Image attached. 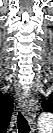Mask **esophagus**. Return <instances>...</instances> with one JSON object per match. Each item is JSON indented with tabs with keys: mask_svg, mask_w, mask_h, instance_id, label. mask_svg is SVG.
Listing matches in <instances>:
<instances>
[{
	"mask_svg": "<svg viewBox=\"0 0 53 133\" xmlns=\"http://www.w3.org/2000/svg\"><path fill=\"white\" fill-rule=\"evenodd\" d=\"M35 100L30 95L24 96L21 100V109L27 116L30 126H35Z\"/></svg>",
	"mask_w": 53,
	"mask_h": 133,
	"instance_id": "1",
	"label": "esophagus"
}]
</instances>
